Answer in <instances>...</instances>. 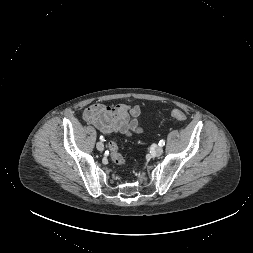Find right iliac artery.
I'll list each match as a JSON object with an SVG mask.
<instances>
[{"label":"right iliac artery","instance_id":"right-iliac-artery-1","mask_svg":"<svg viewBox=\"0 0 253 253\" xmlns=\"http://www.w3.org/2000/svg\"><path fill=\"white\" fill-rule=\"evenodd\" d=\"M100 140H101V141H104V137H103V136H100Z\"/></svg>","mask_w":253,"mask_h":253}]
</instances>
